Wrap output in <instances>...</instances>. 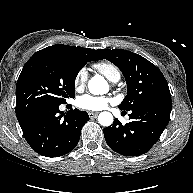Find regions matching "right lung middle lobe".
Returning a JSON list of instances; mask_svg holds the SVG:
<instances>
[{"instance_id": "right-lung-middle-lobe-1", "label": "right lung middle lobe", "mask_w": 193, "mask_h": 193, "mask_svg": "<svg viewBox=\"0 0 193 193\" xmlns=\"http://www.w3.org/2000/svg\"><path fill=\"white\" fill-rule=\"evenodd\" d=\"M89 60L64 55L32 56L16 85V116L74 97L75 78Z\"/></svg>"}]
</instances>
